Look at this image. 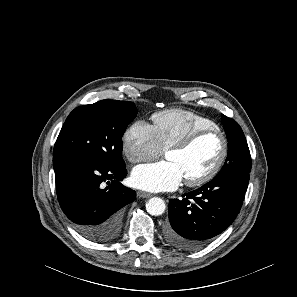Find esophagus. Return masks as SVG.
I'll return each instance as SVG.
<instances>
[{
    "label": "esophagus",
    "instance_id": "34e87169",
    "mask_svg": "<svg viewBox=\"0 0 297 297\" xmlns=\"http://www.w3.org/2000/svg\"><path fill=\"white\" fill-rule=\"evenodd\" d=\"M137 196H138L139 198H149V197L152 196V194L147 193V192H144V191H138V192H137Z\"/></svg>",
    "mask_w": 297,
    "mask_h": 297
}]
</instances>
